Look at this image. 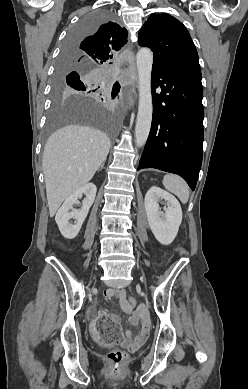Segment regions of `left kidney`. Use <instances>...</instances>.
Wrapping results in <instances>:
<instances>
[{
  "instance_id": "1",
  "label": "left kidney",
  "mask_w": 248,
  "mask_h": 389,
  "mask_svg": "<svg viewBox=\"0 0 248 389\" xmlns=\"http://www.w3.org/2000/svg\"><path fill=\"white\" fill-rule=\"evenodd\" d=\"M166 201L161 211L158 202ZM147 219L155 238L163 245H169L177 236L182 222V210L178 200L159 187H151L145 195Z\"/></svg>"
}]
</instances>
